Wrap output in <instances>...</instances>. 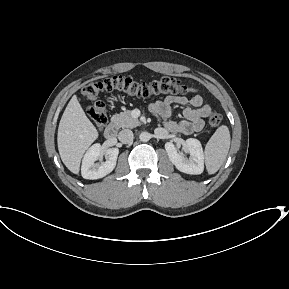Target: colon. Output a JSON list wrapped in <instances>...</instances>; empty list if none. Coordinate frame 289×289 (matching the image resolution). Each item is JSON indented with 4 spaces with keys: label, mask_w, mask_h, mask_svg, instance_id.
Segmentation results:
<instances>
[{
    "label": "colon",
    "mask_w": 289,
    "mask_h": 289,
    "mask_svg": "<svg viewBox=\"0 0 289 289\" xmlns=\"http://www.w3.org/2000/svg\"><path fill=\"white\" fill-rule=\"evenodd\" d=\"M187 87L181 79L162 77L150 82H137L125 76H113L103 80L90 81L82 88V95L91 102L87 114L102 129L108 121L104 103L99 100L104 92L118 91L131 97L148 98L154 95H176L186 92ZM222 122V116L217 112L208 115L207 125L210 130H216Z\"/></svg>",
    "instance_id": "colon-1"
}]
</instances>
